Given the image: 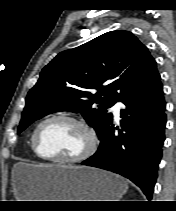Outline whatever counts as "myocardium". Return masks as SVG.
<instances>
[{"label":"myocardium","instance_id":"f54148a6","mask_svg":"<svg viewBox=\"0 0 176 211\" xmlns=\"http://www.w3.org/2000/svg\"><path fill=\"white\" fill-rule=\"evenodd\" d=\"M55 120L70 121V122L80 126L85 131V133L87 135V146L81 154H79L75 157L61 158V157L46 156L40 152V149L38 146V133H39L40 129L45 124H47L51 121H55ZM31 144H32L34 153L40 159L46 160V161H51V162L62 163V164H71V163H79V162L86 160L96 151L97 146H98V136H97L94 128L89 123H87L85 120H83L79 117L73 116V115L61 113V114H54V115H51V116L43 119L35 127V129L32 133V136H31Z\"/></svg>","mask_w":176,"mask_h":211}]
</instances>
